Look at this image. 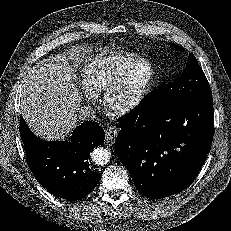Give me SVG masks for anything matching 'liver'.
I'll list each match as a JSON object with an SVG mask.
<instances>
[{
    "mask_svg": "<svg viewBox=\"0 0 231 231\" xmlns=\"http://www.w3.org/2000/svg\"><path fill=\"white\" fill-rule=\"evenodd\" d=\"M78 51L37 62L24 78L21 114L33 133L47 140H63L76 128L81 96L71 62Z\"/></svg>",
    "mask_w": 231,
    "mask_h": 231,
    "instance_id": "1",
    "label": "liver"
}]
</instances>
